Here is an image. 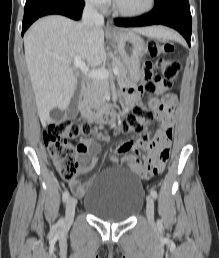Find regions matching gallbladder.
<instances>
[{"mask_svg": "<svg viewBox=\"0 0 219 258\" xmlns=\"http://www.w3.org/2000/svg\"><path fill=\"white\" fill-rule=\"evenodd\" d=\"M80 94H81V84L80 82L77 83L74 95L70 101V104L67 108V117L68 118H75L79 112V101H80Z\"/></svg>", "mask_w": 219, "mask_h": 258, "instance_id": "bac80fb5", "label": "gallbladder"}]
</instances>
